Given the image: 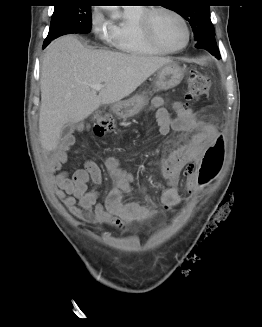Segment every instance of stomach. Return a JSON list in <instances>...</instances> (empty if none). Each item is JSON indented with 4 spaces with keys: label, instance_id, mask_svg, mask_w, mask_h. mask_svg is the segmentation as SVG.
Instances as JSON below:
<instances>
[{
    "label": "stomach",
    "instance_id": "obj_1",
    "mask_svg": "<svg viewBox=\"0 0 262 327\" xmlns=\"http://www.w3.org/2000/svg\"><path fill=\"white\" fill-rule=\"evenodd\" d=\"M184 76V70L176 63L163 66L156 75L155 91L167 90L177 86ZM147 95H135L127 100L116 102L112 105V111L121 118L133 117L147 105Z\"/></svg>",
    "mask_w": 262,
    "mask_h": 327
}]
</instances>
